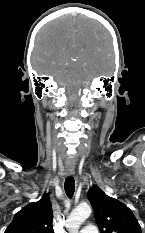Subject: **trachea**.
Masks as SVG:
<instances>
[{"instance_id": "1", "label": "trachea", "mask_w": 145, "mask_h": 233, "mask_svg": "<svg viewBox=\"0 0 145 233\" xmlns=\"http://www.w3.org/2000/svg\"><path fill=\"white\" fill-rule=\"evenodd\" d=\"M64 188L67 196L72 198L75 191V180L72 176L66 178Z\"/></svg>"}]
</instances>
